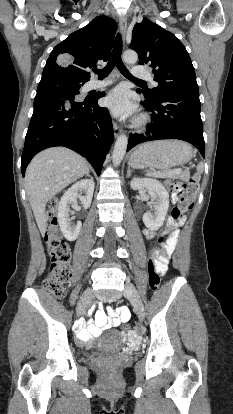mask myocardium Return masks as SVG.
<instances>
[{
	"label": "myocardium",
	"instance_id": "myocardium-1",
	"mask_svg": "<svg viewBox=\"0 0 233 414\" xmlns=\"http://www.w3.org/2000/svg\"><path fill=\"white\" fill-rule=\"evenodd\" d=\"M146 121H147V118L145 116H141L135 121V126L141 127L146 123Z\"/></svg>",
	"mask_w": 233,
	"mask_h": 414
}]
</instances>
